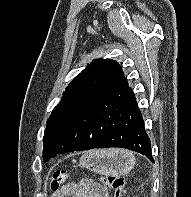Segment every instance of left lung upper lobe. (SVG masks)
<instances>
[{
	"label": "left lung upper lobe",
	"mask_w": 191,
	"mask_h": 197,
	"mask_svg": "<svg viewBox=\"0 0 191 197\" xmlns=\"http://www.w3.org/2000/svg\"><path fill=\"white\" fill-rule=\"evenodd\" d=\"M125 81L119 64L110 59L94 60L78 74L67 86L60 103L48 118L43 137V161L47 162L57 154L72 152L73 148L66 140L64 128L91 97L99 96Z\"/></svg>",
	"instance_id": "5c2ea615"
}]
</instances>
